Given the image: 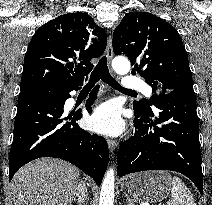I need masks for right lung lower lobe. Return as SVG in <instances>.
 Here are the masks:
<instances>
[{
    "label": "right lung lower lobe",
    "mask_w": 212,
    "mask_h": 205,
    "mask_svg": "<svg viewBox=\"0 0 212 205\" xmlns=\"http://www.w3.org/2000/svg\"><path fill=\"white\" fill-rule=\"evenodd\" d=\"M82 85L50 83L20 92L9 181L24 164L40 157H55L69 161L101 184L109 159L106 140L79 127L76 120L82 117L80 110L69 114L63 110L65 101L71 97L69 92ZM98 87L87 101L89 112Z\"/></svg>",
    "instance_id": "obj_1"
}]
</instances>
